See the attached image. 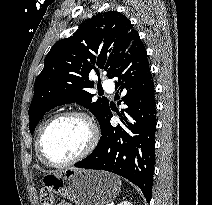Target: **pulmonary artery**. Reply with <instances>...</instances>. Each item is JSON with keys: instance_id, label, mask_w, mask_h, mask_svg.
Here are the masks:
<instances>
[{"instance_id": "e3ab8cb5", "label": "pulmonary artery", "mask_w": 212, "mask_h": 205, "mask_svg": "<svg viewBox=\"0 0 212 205\" xmlns=\"http://www.w3.org/2000/svg\"><path fill=\"white\" fill-rule=\"evenodd\" d=\"M103 88L107 91V92H113L114 91V84L111 80H105L103 82Z\"/></svg>"}]
</instances>
